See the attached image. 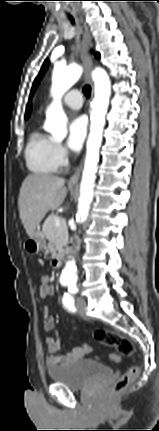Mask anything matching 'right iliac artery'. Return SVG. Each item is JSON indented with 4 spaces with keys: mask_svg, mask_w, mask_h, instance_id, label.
<instances>
[{
    "mask_svg": "<svg viewBox=\"0 0 159 431\" xmlns=\"http://www.w3.org/2000/svg\"><path fill=\"white\" fill-rule=\"evenodd\" d=\"M75 288L74 284H69V290H73Z\"/></svg>",
    "mask_w": 159,
    "mask_h": 431,
    "instance_id": "obj_1",
    "label": "right iliac artery"
}]
</instances>
